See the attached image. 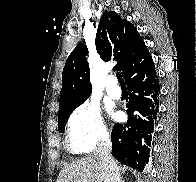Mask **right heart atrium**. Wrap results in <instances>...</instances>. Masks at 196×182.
Listing matches in <instances>:
<instances>
[{"instance_id":"obj_1","label":"right heart atrium","mask_w":196,"mask_h":182,"mask_svg":"<svg viewBox=\"0 0 196 182\" xmlns=\"http://www.w3.org/2000/svg\"><path fill=\"white\" fill-rule=\"evenodd\" d=\"M67 136L70 150L75 153H88L108 140L109 132L96 104L84 102L72 112Z\"/></svg>"}]
</instances>
